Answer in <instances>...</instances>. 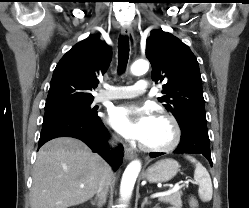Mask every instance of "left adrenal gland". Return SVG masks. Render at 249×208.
<instances>
[{"mask_svg":"<svg viewBox=\"0 0 249 208\" xmlns=\"http://www.w3.org/2000/svg\"><path fill=\"white\" fill-rule=\"evenodd\" d=\"M151 201L148 200V197H145L142 204H141V208H144L145 205H150Z\"/></svg>","mask_w":249,"mask_h":208,"instance_id":"1","label":"left adrenal gland"}]
</instances>
